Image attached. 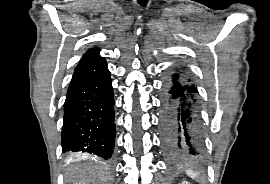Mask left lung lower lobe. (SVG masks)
Segmentation results:
<instances>
[{"instance_id": "obj_1", "label": "left lung lower lobe", "mask_w": 270, "mask_h": 184, "mask_svg": "<svg viewBox=\"0 0 270 184\" xmlns=\"http://www.w3.org/2000/svg\"><path fill=\"white\" fill-rule=\"evenodd\" d=\"M162 146L172 161L204 158V131L198 91L185 70L172 75L162 102Z\"/></svg>"}]
</instances>
